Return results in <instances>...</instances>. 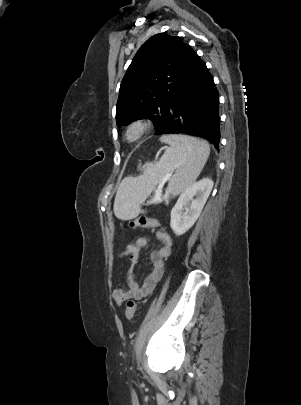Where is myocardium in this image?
I'll return each mask as SVG.
<instances>
[{
  "instance_id": "f54148a6",
  "label": "myocardium",
  "mask_w": 301,
  "mask_h": 405,
  "mask_svg": "<svg viewBox=\"0 0 301 405\" xmlns=\"http://www.w3.org/2000/svg\"><path fill=\"white\" fill-rule=\"evenodd\" d=\"M150 128V122L145 119L132 121L127 125L124 131V140L128 143H136L147 133Z\"/></svg>"
}]
</instances>
